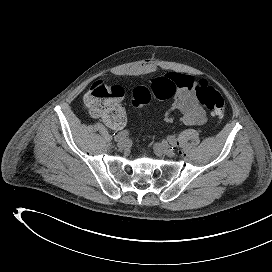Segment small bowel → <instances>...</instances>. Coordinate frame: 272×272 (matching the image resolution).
<instances>
[{
	"mask_svg": "<svg viewBox=\"0 0 272 272\" xmlns=\"http://www.w3.org/2000/svg\"><path fill=\"white\" fill-rule=\"evenodd\" d=\"M167 78L177 85L174 101L165 113L164 121L168 124L174 122L173 113L179 112V121L185 125H203L207 118L202 105L197 99L195 88L199 82L191 76L181 73H169ZM120 102V101H119ZM112 129H121L126 125V114L119 103V112L110 118H102Z\"/></svg>",
	"mask_w": 272,
	"mask_h": 272,
	"instance_id": "obj_1",
	"label": "small bowel"
}]
</instances>
